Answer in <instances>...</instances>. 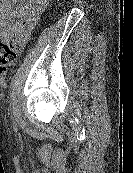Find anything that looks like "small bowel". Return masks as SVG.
<instances>
[{"instance_id":"small-bowel-1","label":"small bowel","mask_w":133,"mask_h":173,"mask_svg":"<svg viewBox=\"0 0 133 173\" xmlns=\"http://www.w3.org/2000/svg\"><path fill=\"white\" fill-rule=\"evenodd\" d=\"M0 0V40L12 41L21 51L46 7L47 0Z\"/></svg>"}]
</instances>
